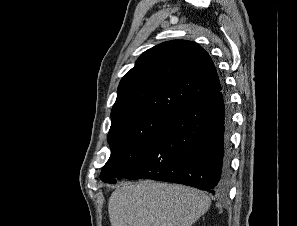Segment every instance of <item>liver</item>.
I'll use <instances>...</instances> for the list:
<instances>
[{"label": "liver", "instance_id": "obj_1", "mask_svg": "<svg viewBox=\"0 0 297 226\" xmlns=\"http://www.w3.org/2000/svg\"><path fill=\"white\" fill-rule=\"evenodd\" d=\"M202 191L141 180L125 183L110 196L111 226H191L210 207Z\"/></svg>", "mask_w": 297, "mask_h": 226}]
</instances>
